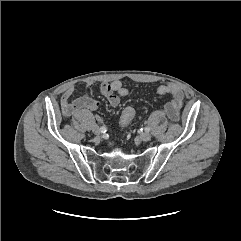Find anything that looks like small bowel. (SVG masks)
I'll return each instance as SVG.
<instances>
[{
	"label": "small bowel",
	"mask_w": 241,
	"mask_h": 241,
	"mask_svg": "<svg viewBox=\"0 0 241 241\" xmlns=\"http://www.w3.org/2000/svg\"><path fill=\"white\" fill-rule=\"evenodd\" d=\"M90 85L91 82H86L85 92ZM74 90V86H69L61 96V109L65 118H70L81 109L91 111L98 109V101L89 97L86 93L82 94L75 100H72ZM100 92L107 98L109 105L112 108H117L120 104V98L128 96L131 93L130 89L126 88L120 80L103 82L100 85ZM156 92L160 95L171 96V100L165 105V112L172 121H177L184 100L182 90L175 84H164L158 86Z\"/></svg>",
	"instance_id": "1"
}]
</instances>
